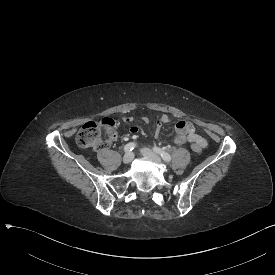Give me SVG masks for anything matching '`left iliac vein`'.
I'll list each match as a JSON object with an SVG mask.
<instances>
[{
    "label": "left iliac vein",
    "mask_w": 275,
    "mask_h": 275,
    "mask_svg": "<svg viewBox=\"0 0 275 275\" xmlns=\"http://www.w3.org/2000/svg\"><path fill=\"white\" fill-rule=\"evenodd\" d=\"M141 154L151 160V161H154V162H160L161 161V157L156 153L154 152L153 150L149 149V148H142L141 150Z\"/></svg>",
    "instance_id": "left-iliac-vein-1"
}]
</instances>
